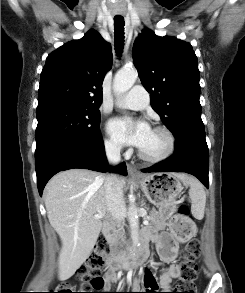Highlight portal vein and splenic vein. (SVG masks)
<instances>
[{
    "label": "portal vein and splenic vein",
    "mask_w": 245,
    "mask_h": 293,
    "mask_svg": "<svg viewBox=\"0 0 245 293\" xmlns=\"http://www.w3.org/2000/svg\"><path fill=\"white\" fill-rule=\"evenodd\" d=\"M102 216H103L102 214H97V215H95L94 217H95V218H101ZM143 224H144V225H148V224H149V221H148V220H144V221H143Z\"/></svg>",
    "instance_id": "1"
}]
</instances>
